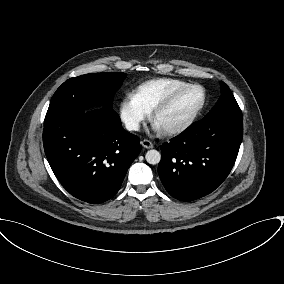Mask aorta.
Returning a JSON list of instances; mask_svg holds the SVG:
<instances>
[{"instance_id": "762f6f07", "label": "aorta", "mask_w": 284, "mask_h": 284, "mask_svg": "<svg viewBox=\"0 0 284 284\" xmlns=\"http://www.w3.org/2000/svg\"><path fill=\"white\" fill-rule=\"evenodd\" d=\"M145 159L149 164L155 165L160 162L161 154L159 153V151L152 149L147 151Z\"/></svg>"}]
</instances>
